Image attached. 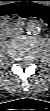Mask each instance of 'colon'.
<instances>
[{
    "label": "colon",
    "mask_w": 50,
    "mask_h": 111,
    "mask_svg": "<svg viewBox=\"0 0 50 111\" xmlns=\"http://www.w3.org/2000/svg\"><path fill=\"white\" fill-rule=\"evenodd\" d=\"M0 15L4 22L19 18H35L48 22L50 20V7L35 0H18L3 6Z\"/></svg>",
    "instance_id": "colon-1"
}]
</instances>
